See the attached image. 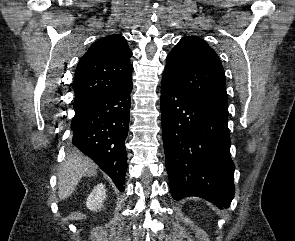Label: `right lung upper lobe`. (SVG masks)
Wrapping results in <instances>:
<instances>
[{
    "label": "right lung upper lobe",
    "instance_id": "obj_1",
    "mask_svg": "<svg viewBox=\"0 0 295 241\" xmlns=\"http://www.w3.org/2000/svg\"><path fill=\"white\" fill-rule=\"evenodd\" d=\"M131 56L132 51L121 35L106 36L93 43L75 71L74 102L131 83Z\"/></svg>",
    "mask_w": 295,
    "mask_h": 241
}]
</instances>
